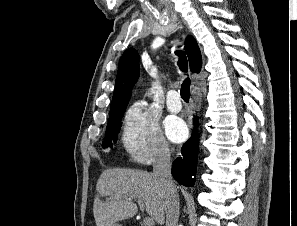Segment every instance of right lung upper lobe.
Returning a JSON list of instances; mask_svg holds the SVG:
<instances>
[{
    "label": "right lung upper lobe",
    "instance_id": "right-lung-upper-lobe-1",
    "mask_svg": "<svg viewBox=\"0 0 297 226\" xmlns=\"http://www.w3.org/2000/svg\"><path fill=\"white\" fill-rule=\"evenodd\" d=\"M186 53L189 58L190 69L198 73L201 69L202 59L196 40L188 36L185 40ZM139 77V56L137 50L127 49L122 55L115 82V90L111 108L127 106L130 100L133 85Z\"/></svg>",
    "mask_w": 297,
    "mask_h": 226
}]
</instances>
